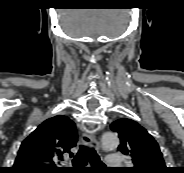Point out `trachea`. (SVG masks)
<instances>
[{
  "label": "trachea",
  "mask_w": 184,
  "mask_h": 173,
  "mask_svg": "<svg viewBox=\"0 0 184 173\" xmlns=\"http://www.w3.org/2000/svg\"><path fill=\"white\" fill-rule=\"evenodd\" d=\"M88 161H90L91 165L96 168H105L104 163L100 160L99 155L96 153L94 148H90L84 145L79 147V151L74 157L73 169L82 168Z\"/></svg>",
  "instance_id": "1"
}]
</instances>
